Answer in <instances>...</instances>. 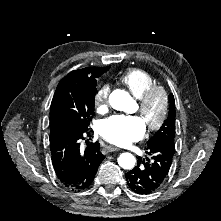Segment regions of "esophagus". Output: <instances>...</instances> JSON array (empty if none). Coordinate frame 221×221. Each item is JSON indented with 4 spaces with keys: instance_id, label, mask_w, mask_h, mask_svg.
I'll return each mask as SVG.
<instances>
[{
    "instance_id": "1",
    "label": "esophagus",
    "mask_w": 221,
    "mask_h": 221,
    "mask_svg": "<svg viewBox=\"0 0 221 221\" xmlns=\"http://www.w3.org/2000/svg\"><path fill=\"white\" fill-rule=\"evenodd\" d=\"M120 149L118 147H115L113 145H104L102 152L105 154L107 152H114V151H119Z\"/></svg>"
}]
</instances>
